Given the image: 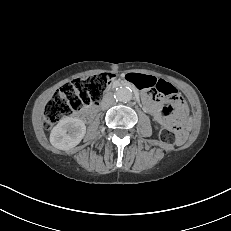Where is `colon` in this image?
<instances>
[{
    "label": "colon",
    "instance_id": "1",
    "mask_svg": "<svg viewBox=\"0 0 231 231\" xmlns=\"http://www.w3.org/2000/svg\"><path fill=\"white\" fill-rule=\"evenodd\" d=\"M113 79L112 73H99L86 78H76L64 84L45 107V127L53 126L59 120L73 115L86 106L99 104ZM153 92L167 96L176 94L177 90L170 83L162 81ZM175 114L177 120L174 126L162 129L160 134L162 141L167 144L181 143L187 137L184 127L187 115L185 107L177 106Z\"/></svg>",
    "mask_w": 231,
    "mask_h": 231
}]
</instances>
